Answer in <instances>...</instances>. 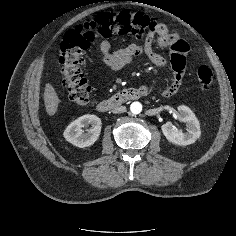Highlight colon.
I'll return each mask as SVG.
<instances>
[{
  "label": "colon",
  "mask_w": 236,
  "mask_h": 236,
  "mask_svg": "<svg viewBox=\"0 0 236 236\" xmlns=\"http://www.w3.org/2000/svg\"><path fill=\"white\" fill-rule=\"evenodd\" d=\"M145 32H153L163 41L173 37L167 27L154 17L128 10L101 13L69 30L61 43L60 64L70 101L78 106L90 102L92 87L83 74L82 65L85 53L97 36L109 38L117 34L141 38ZM197 78L202 88H209L214 78L212 69L207 65L200 66Z\"/></svg>",
  "instance_id": "colon-1"
}]
</instances>
